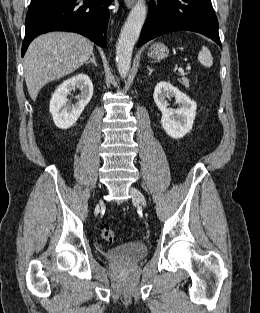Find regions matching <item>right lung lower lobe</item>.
<instances>
[{"instance_id":"98d812e1","label":"right lung lower lobe","mask_w":260,"mask_h":313,"mask_svg":"<svg viewBox=\"0 0 260 313\" xmlns=\"http://www.w3.org/2000/svg\"><path fill=\"white\" fill-rule=\"evenodd\" d=\"M112 0H31L25 26L22 56L30 42L50 31H71L82 34L106 47L108 6Z\"/></svg>"}]
</instances>
